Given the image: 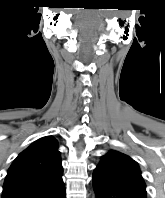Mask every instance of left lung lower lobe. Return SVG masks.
I'll use <instances>...</instances> for the list:
<instances>
[{
    "label": "left lung lower lobe",
    "instance_id": "left-lung-lower-lobe-1",
    "mask_svg": "<svg viewBox=\"0 0 165 198\" xmlns=\"http://www.w3.org/2000/svg\"><path fill=\"white\" fill-rule=\"evenodd\" d=\"M96 198H145L144 196L120 187L94 171L92 178Z\"/></svg>",
    "mask_w": 165,
    "mask_h": 198
}]
</instances>
